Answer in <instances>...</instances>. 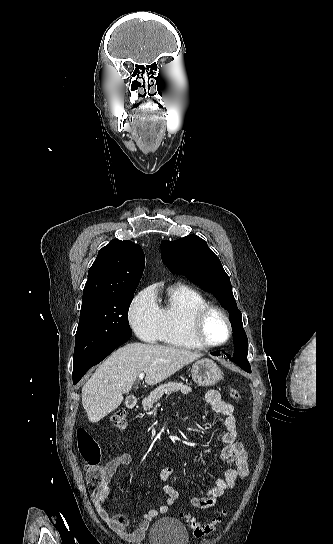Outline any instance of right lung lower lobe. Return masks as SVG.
I'll list each match as a JSON object with an SVG mask.
<instances>
[{"instance_id":"98d812e1","label":"right lung lower lobe","mask_w":333,"mask_h":544,"mask_svg":"<svg viewBox=\"0 0 333 544\" xmlns=\"http://www.w3.org/2000/svg\"><path fill=\"white\" fill-rule=\"evenodd\" d=\"M131 335L120 336L112 340L111 342L105 344L89 357L76 364L73 369V384L77 382L84 376V374L94 365L101 362L105 357H107L111 352H113L118 346L124 344L130 339Z\"/></svg>"}]
</instances>
